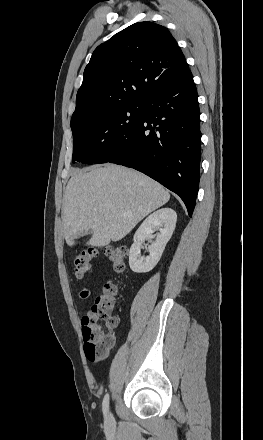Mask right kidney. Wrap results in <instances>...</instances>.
<instances>
[{"label": "right kidney", "mask_w": 263, "mask_h": 440, "mask_svg": "<svg viewBox=\"0 0 263 440\" xmlns=\"http://www.w3.org/2000/svg\"><path fill=\"white\" fill-rule=\"evenodd\" d=\"M177 214L171 208H162L149 215L140 225L134 235V243L129 252V266L133 272L145 273L151 271L170 240L176 226ZM160 228L156 240L148 247L149 256L140 257L142 244L147 238H153V229Z\"/></svg>", "instance_id": "1"}]
</instances>
